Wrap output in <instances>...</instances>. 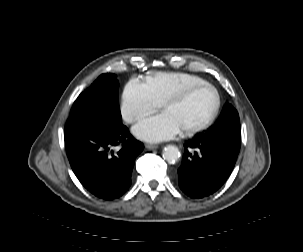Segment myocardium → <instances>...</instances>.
<instances>
[{
  "mask_svg": "<svg viewBox=\"0 0 303 252\" xmlns=\"http://www.w3.org/2000/svg\"><path fill=\"white\" fill-rule=\"evenodd\" d=\"M202 88L210 89L213 92V95H214L213 111H212L211 115L209 116V118L203 124H201L195 128L189 129V130H181V134L184 137H190V136L196 135L197 133H200V132L206 130L207 128H209L212 125V123L214 122V120L216 119V117L218 115V112H219V109L221 106V97H220V94H219L217 88L209 83L198 84V85L194 86L193 88L189 89L188 91H186L185 93H183L182 95L169 99L162 105L163 109H167L170 106L182 104L188 97H190L193 93L197 92L199 89H202Z\"/></svg>",
  "mask_w": 303,
  "mask_h": 252,
  "instance_id": "obj_1",
  "label": "myocardium"
}]
</instances>
